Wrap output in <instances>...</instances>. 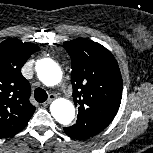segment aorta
Wrapping results in <instances>:
<instances>
[{"label":"aorta","mask_w":153,"mask_h":153,"mask_svg":"<svg viewBox=\"0 0 153 153\" xmlns=\"http://www.w3.org/2000/svg\"><path fill=\"white\" fill-rule=\"evenodd\" d=\"M38 78L46 86L57 85L62 79V71L59 65L48 58L38 61L36 66ZM50 111L54 119L62 125H68L75 116V108L71 101L59 98L52 102Z\"/></svg>","instance_id":"aorta-1"}]
</instances>
